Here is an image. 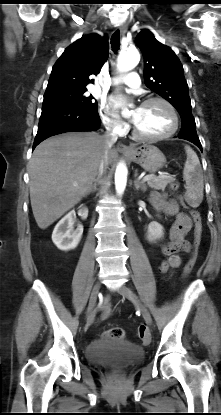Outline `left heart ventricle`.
<instances>
[{
  "mask_svg": "<svg viewBox=\"0 0 221 415\" xmlns=\"http://www.w3.org/2000/svg\"><path fill=\"white\" fill-rule=\"evenodd\" d=\"M132 117L139 131L146 135L164 134L171 129L173 124L168 108L159 102L136 108Z\"/></svg>",
  "mask_w": 221,
  "mask_h": 415,
  "instance_id": "1",
  "label": "left heart ventricle"
}]
</instances>
